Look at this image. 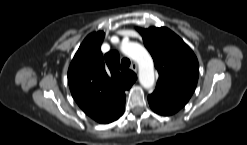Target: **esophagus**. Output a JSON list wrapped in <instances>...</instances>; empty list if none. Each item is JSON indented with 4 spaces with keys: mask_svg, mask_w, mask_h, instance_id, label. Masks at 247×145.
<instances>
[{
    "mask_svg": "<svg viewBox=\"0 0 247 145\" xmlns=\"http://www.w3.org/2000/svg\"><path fill=\"white\" fill-rule=\"evenodd\" d=\"M131 69H132L133 71L137 72V70H138L137 63L133 62V63L131 64Z\"/></svg>",
    "mask_w": 247,
    "mask_h": 145,
    "instance_id": "34e87169",
    "label": "esophagus"
}]
</instances>
